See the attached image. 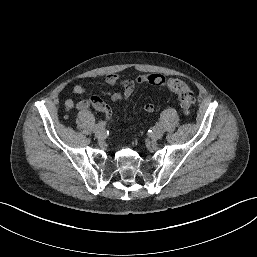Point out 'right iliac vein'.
<instances>
[{
	"label": "right iliac vein",
	"mask_w": 257,
	"mask_h": 257,
	"mask_svg": "<svg viewBox=\"0 0 257 257\" xmlns=\"http://www.w3.org/2000/svg\"><path fill=\"white\" fill-rule=\"evenodd\" d=\"M95 136L98 139H102L105 136V131L103 129H100L97 132H95Z\"/></svg>",
	"instance_id": "obj_1"
}]
</instances>
